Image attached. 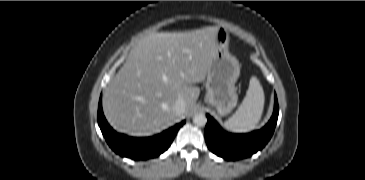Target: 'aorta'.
<instances>
[{
	"label": "aorta",
	"mask_w": 365,
	"mask_h": 180,
	"mask_svg": "<svg viewBox=\"0 0 365 180\" xmlns=\"http://www.w3.org/2000/svg\"><path fill=\"white\" fill-rule=\"evenodd\" d=\"M193 123L198 126H205L207 123V117L203 113L195 114L193 117Z\"/></svg>",
	"instance_id": "1"
}]
</instances>
